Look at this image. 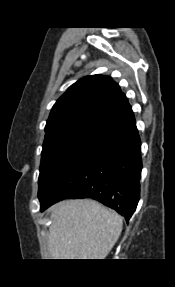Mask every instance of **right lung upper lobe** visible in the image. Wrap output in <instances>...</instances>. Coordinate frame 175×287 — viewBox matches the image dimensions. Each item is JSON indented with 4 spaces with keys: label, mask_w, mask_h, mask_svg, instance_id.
Wrapping results in <instances>:
<instances>
[{
    "label": "right lung upper lobe",
    "mask_w": 175,
    "mask_h": 287,
    "mask_svg": "<svg viewBox=\"0 0 175 287\" xmlns=\"http://www.w3.org/2000/svg\"><path fill=\"white\" fill-rule=\"evenodd\" d=\"M126 96L112 78L86 76L71 85L54 104L45 132L81 123H105L116 126L133 117Z\"/></svg>",
    "instance_id": "obj_1"
}]
</instances>
